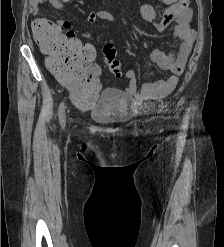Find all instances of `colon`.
<instances>
[{"mask_svg":"<svg viewBox=\"0 0 224 247\" xmlns=\"http://www.w3.org/2000/svg\"><path fill=\"white\" fill-rule=\"evenodd\" d=\"M32 31L42 49L50 54L49 69L68 88L72 102L81 108L94 105L98 99V90L93 84L97 83L100 76V69L94 63V47L67 38L55 23L41 16L33 21ZM103 55L110 71L119 76L121 64L116 59L115 47L106 45Z\"/></svg>","mask_w":224,"mask_h":247,"instance_id":"1","label":"colon"}]
</instances>
